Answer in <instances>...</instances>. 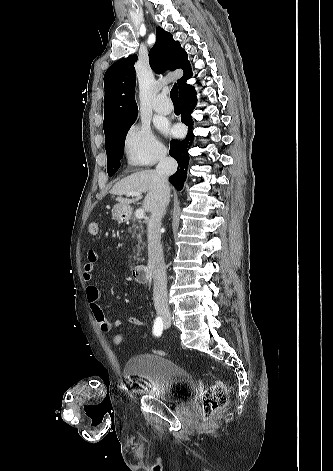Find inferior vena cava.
<instances>
[{
  "instance_id": "602c4592",
  "label": "inferior vena cava",
  "mask_w": 333,
  "mask_h": 471,
  "mask_svg": "<svg viewBox=\"0 0 333 471\" xmlns=\"http://www.w3.org/2000/svg\"><path fill=\"white\" fill-rule=\"evenodd\" d=\"M177 170V162L166 152L160 154L159 162L156 166L158 176L159 195L151 211L148 222V259L153 271L154 287L153 300L154 307L158 314L169 312L167 295V275L161 245V219L165 213L170 200V187L168 178Z\"/></svg>"
}]
</instances>
